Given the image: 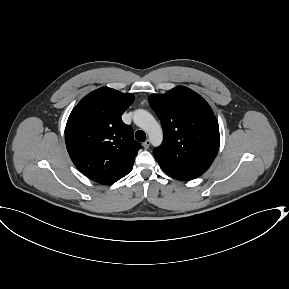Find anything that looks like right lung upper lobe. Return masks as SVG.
Listing matches in <instances>:
<instances>
[{
  "mask_svg": "<svg viewBox=\"0 0 289 289\" xmlns=\"http://www.w3.org/2000/svg\"><path fill=\"white\" fill-rule=\"evenodd\" d=\"M134 97L108 87L86 95L72 110L65 128L67 151L75 166L100 184H111L131 172L141 144L122 113Z\"/></svg>",
  "mask_w": 289,
  "mask_h": 289,
  "instance_id": "obj_1",
  "label": "right lung upper lobe"
}]
</instances>
